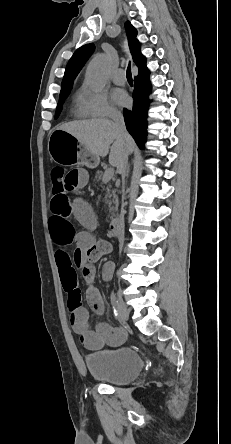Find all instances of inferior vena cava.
<instances>
[{"label": "inferior vena cava", "mask_w": 231, "mask_h": 444, "mask_svg": "<svg viewBox=\"0 0 231 444\" xmlns=\"http://www.w3.org/2000/svg\"><path fill=\"white\" fill-rule=\"evenodd\" d=\"M111 118L113 120L114 125L116 126L117 131L119 132L120 136L126 141L128 142V133L126 131V127H125V122L123 119V116L121 113L119 112H114L111 115ZM129 148H130V143H125L124 146V159L121 163V166L118 168V172L122 175V178L124 179L127 173V166H128V157H129ZM124 194L128 193L127 189L123 190ZM121 209H119V213H118V221H119V225H118V230H121L118 232L119 236H126L127 232H126V227L124 226L127 222L128 219L124 216V212L126 211V199L123 198L121 200ZM121 241V238H120Z\"/></svg>", "instance_id": "1"}]
</instances>
